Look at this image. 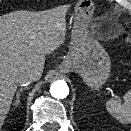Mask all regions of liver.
I'll return each instance as SVG.
<instances>
[{
    "label": "liver",
    "mask_w": 131,
    "mask_h": 131,
    "mask_svg": "<svg viewBox=\"0 0 131 131\" xmlns=\"http://www.w3.org/2000/svg\"><path fill=\"white\" fill-rule=\"evenodd\" d=\"M67 8L44 13L18 12L0 18V130L5 122L19 80L28 73L42 75L45 56L66 43ZM71 51L79 57L85 48L80 30Z\"/></svg>",
    "instance_id": "1"
}]
</instances>
